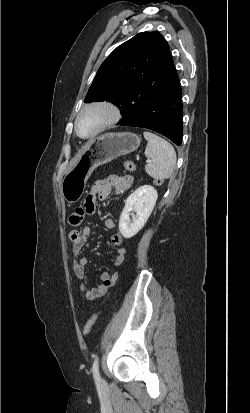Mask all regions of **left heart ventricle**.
Here are the masks:
<instances>
[{
  "label": "left heart ventricle",
  "mask_w": 250,
  "mask_h": 413,
  "mask_svg": "<svg viewBox=\"0 0 250 413\" xmlns=\"http://www.w3.org/2000/svg\"><path fill=\"white\" fill-rule=\"evenodd\" d=\"M106 118V113L101 110L85 112L79 120L78 128L81 135L86 136L94 132Z\"/></svg>",
  "instance_id": "obj_1"
}]
</instances>
